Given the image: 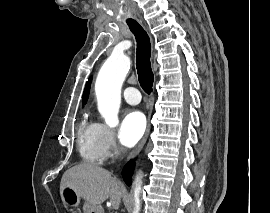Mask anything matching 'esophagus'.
<instances>
[{
  "label": "esophagus",
  "mask_w": 270,
  "mask_h": 213,
  "mask_svg": "<svg viewBox=\"0 0 270 213\" xmlns=\"http://www.w3.org/2000/svg\"><path fill=\"white\" fill-rule=\"evenodd\" d=\"M149 132H150V122H148L145 135L143 136L142 140L140 141V143L138 144L136 149L133 152H131L130 155L127 157L126 162L133 159L142 150V148L145 145L147 138L149 136Z\"/></svg>",
  "instance_id": "1"
}]
</instances>
